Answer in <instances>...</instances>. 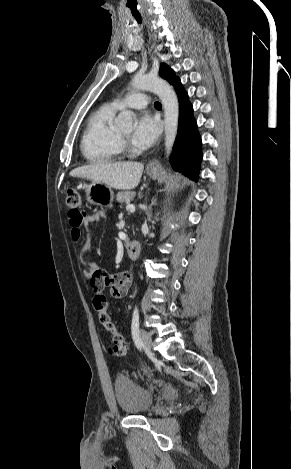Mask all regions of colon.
I'll return each mask as SVG.
<instances>
[{
	"instance_id": "colon-1",
	"label": "colon",
	"mask_w": 291,
	"mask_h": 469,
	"mask_svg": "<svg viewBox=\"0 0 291 469\" xmlns=\"http://www.w3.org/2000/svg\"><path fill=\"white\" fill-rule=\"evenodd\" d=\"M66 204L69 208V213L75 214L79 218L85 215L84 211L81 209V196L76 189H69L67 191ZM107 300L108 295L106 293H96L94 295L93 309L98 313L101 325L112 336V346L109 348V353L114 357L121 358L126 355L128 347L125 338L117 330L108 314Z\"/></svg>"
}]
</instances>
